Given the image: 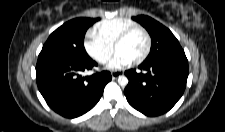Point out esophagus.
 Here are the masks:
<instances>
[{
  "label": "esophagus",
  "instance_id": "esophagus-1",
  "mask_svg": "<svg viewBox=\"0 0 225 132\" xmlns=\"http://www.w3.org/2000/svg\"><path fill=\"white\" fill-rule=\"evenodd\" d=\"M112 78L113 79H116V78H118L120 75H121V72H117V71H115V72H112Z\"/></svg>",
  "mask_w": 225,
  "mask_h": 132
}]
</instances>
